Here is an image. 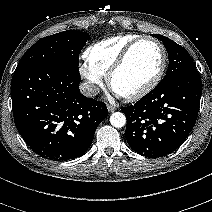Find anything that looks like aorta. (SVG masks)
I'll use <instances>...</instances> for the list:
<instances>
[{"instance_id":"762f6f07","label":"aorta","mask_w":212,"mask_h":212,"mask_svg":"<svg viewBox=\"0 0 212 212\" xmlns=\"http://www.w3.org/2000/svg\"><path fill=\"white\" fill-rule=\"evenodd\" d=\"M110 123L116 128H122L126 124V117L121 112H115L110 116Z\"/></svg>"}]
</instances>
